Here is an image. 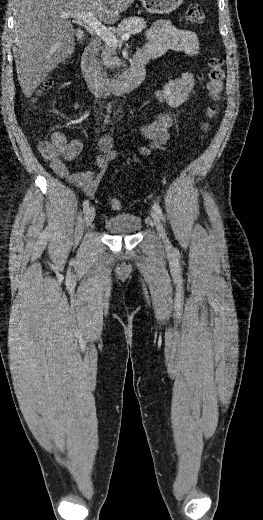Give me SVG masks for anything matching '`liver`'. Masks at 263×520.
Listing matches in <instances>:
<instances>
[{
	"label": "liver",
	"instance_id": "obj_1",
	"mask_svg": "<svg viewBox=\"0 0 263 520\" xmlns=\"http://www.w3.org/2000/svg\"><path fill=\"white\" fill-rule=\"evenodd\" d=\"M135 0H18L14 9V57L19 84L30 97L48 74L74 52L75 30L63 13L92 12L114 24Z\"/></svg>",
	"mask_w": 263,
	"mask_h": 520
}]
</instances>
